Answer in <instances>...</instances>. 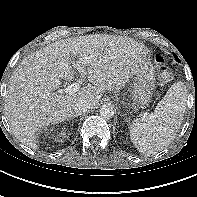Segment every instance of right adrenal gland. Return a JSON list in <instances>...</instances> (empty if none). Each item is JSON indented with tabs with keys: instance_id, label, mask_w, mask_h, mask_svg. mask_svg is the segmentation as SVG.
Here are the masks:
<instances>
[{
	"instance_id": "2a0ac1e0",
	"label": "right adrenal gland",
	"mask_w": 197,
	"mask_h": 197,
	"mask_svg": "<svg viewBox=\"0 0 197 197\" xmlns=\"http://www.w3.org/2000/svg\"><path fill=\"white\" fill-rule=\"evenodd\" d=\"M76 116H73L71 119H74Z\"/></svg>"
}]
</instances>
